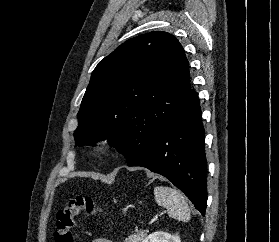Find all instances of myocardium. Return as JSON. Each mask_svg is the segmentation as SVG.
I'll return each mask as SVG.
<instances>
[{
	"instance_id": "obj_1",
	"label": "myocardium",
	"mask_w": 279,
	"mask_h": 242,
	"mask_svg": "<svg viewBox=\"0 0 279 242\" xmlns=\"http://www.w3.org/2000/svg\"><path fill=\"white\" fill-rule=\"evenodd\" d=\"M111 144V139L109 137H100L94 141L93 148L97 152L106 150Z\"/></svg>"
}]
</instances>
